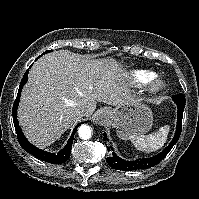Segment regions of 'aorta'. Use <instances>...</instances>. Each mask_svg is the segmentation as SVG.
<instances>
[{
	"mask_svg": "<svg viewBox=\"0 0 199 199\" xmlns=\"http://www.w3.org/2000/svg\"><path fill=\"white\" fill-rule=\"evenodd\" d=\"M79 137L83 140L90 139L92 136V129L88 125H81L78 129Z\"/></svg>",
	"mask_w": 199,
	"mask_h": 199,
	"instance_id": "762f6f07",
	"label": "aorta"
}]
</instances>
